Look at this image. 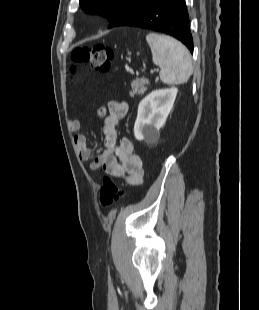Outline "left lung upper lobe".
Returning <instances> with one entry per match:
<instances>
[{"label":"left lung upper lobe","instance_id":"1","mask_svg":"<svg viewBox=\"0 0 259 310\" xmlns=\"http://www.w3.org/2000/svg\"><path fill=\"white\" fill-rule=\"evenodd\" d=\"M148 1L149 0H80V6L85 13L106 17L110 22L108 28H111L129 11Z\"/></svg>","mask_w":259,"mask_h":310}]
</instances>
